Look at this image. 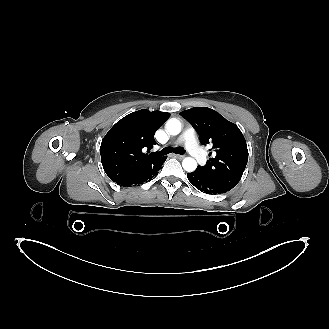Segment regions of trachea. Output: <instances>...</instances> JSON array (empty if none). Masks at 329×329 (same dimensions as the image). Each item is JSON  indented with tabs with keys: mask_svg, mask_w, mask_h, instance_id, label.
I'll return each mask as SVG.
<instances>
[{
	"mask_svg": "<svg viewBox=\"0 0 329 329\" xmlns=\"http://www.w3.org/2000/svg\"><path fill=\"white\" fill-rule=\"evenodd\" d=\"M172 152L177 153V154H181V155H182V154L185 153V150H184L183 148H181V147H176V148H174V149L169 148V147H165L164 149H162V150L159 152V155H160V156H164V155H167V154L172 153Z\"/></svg>",
	"mask_w": 329,
	"mask_h": 329,
	"instance_id": "3493384b",
	"label": "trachea"
}]
</instances>
